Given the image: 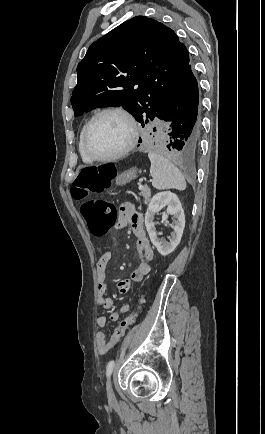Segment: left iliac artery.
<instances>
[{
	"instance_id": "1",
	"label": "left iliac artery",
	"mask_w": 265,
	"mask_h": 434,
	"mask_svg": "<svg viewBox=\"0 0 265 434\" xmlns=\"http://www.w3.org/2000/svg\"><path fill=\"white\" fill-rule=\"evenodd\" d=\"M114 366H115V361H114V360H111V361L107 364V367H106V375H107V377H110V376H111L112 371H113V369H114Z\"/></svg>"
}]
</instances>
